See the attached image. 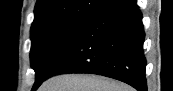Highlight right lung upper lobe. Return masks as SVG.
Here are the masks:
<instances>
[{
  "label": "right lung upper lobe",
  "mask_w": 173,
  "mask_h": 91,
  "mask_svg": "<svg viewBox=\"0 0 173 91\" xmlns=\"http://www.w3.org/2000/svg\"><path fill=\"white\" fill-rule=\"evenodd\" d=\"M115 0H37L32 25L67 18H90Z\"/></svg>",
  "instance_id": "obj_1"
}]
</instances>
